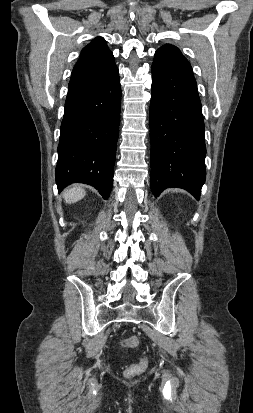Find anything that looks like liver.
Listing matches in <instances>:
<instances>
[{
	"mask_svg": "<svg viewBox=\"0 0 253 413\" xmlns=\"http://www.w3.org/2000/svg\"><path fill=\"white\" fill-rule=\"evenodd\" d=\"M85 196V191L80 186H74L72 188L66 189L63 192V197L66 203H75L81 200Z\"/></svg>",
	"mask_w": 253,
	"mask_h": 413,
	"instance_id": "1",
	"label": "liver"
}]
</instances>
